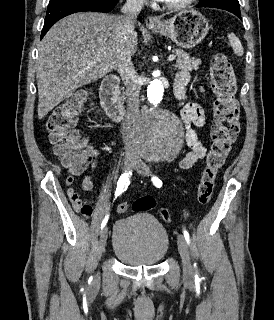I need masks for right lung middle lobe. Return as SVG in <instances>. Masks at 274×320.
<instances>
[{"mask_svg": "<svg viewBox=\"0 0 274 320\" xmlns=\"http://www.w3.org/2000/svg\"><path fill=\"white\" fill-rule=\"evenodd\" d=\"M56 1H58V0H50L49 3H54V2H56Z\"/></svg>", "mask_w": 274, "mask_h": 320, "instance_id": "dd1d6c3e", "label": "right lung middle lobe"}]
</instances>
